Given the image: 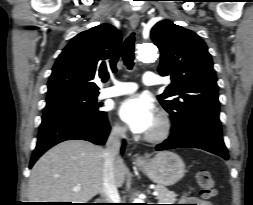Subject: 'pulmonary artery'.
I'll use <instances>...</instances> for the list:
<instances>
[{"label":"pulmonary artery","mask_w":253,"mask_h":205,"mask_svg":"<svg viewBox=\"0 0 253 205\" xmlns=\"http://www.w3.org/2000/svg\"><path fill=\"white\" fill-rule=\"evenodd\" d=\"M143 84L147 86L157 85L160 83L157 75L154 72L147 71L143 75ZM137 89V85L133 82L113 81V85L101 90L100 99L116 97L124 94H129Z\"/></svg>","instance_id":"1"}]
</instances>
